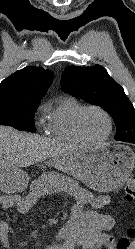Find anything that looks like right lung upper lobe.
Here are the masks:
<instances>
[{
    "label": "right lung upper lobe",
    "instance_id": "cb5924a9",
    "mask_svg": "<svg viewBox=\"0 0 135 249\" xmlns=\"http://www.w3.org/2000/svg\"><path fill=\"white\" fill-rule=\"evenodd\" d=\"M52 82V71L41 67L28 66L16 71L0 83V95L40 100Z\"/></svg>",
    "mask_w": 135,
    "mask_h": 249
}]
</instances>
